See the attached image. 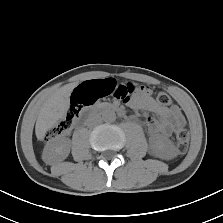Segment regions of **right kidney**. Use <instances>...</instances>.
I'll return each instance as SVG.
<instances>
[{"label":"right kidney","instance_id":"ca27d5eb","mask_svg":"<svg viewBox=\"0 0 223 223\" xmlns=\"http://www.w3.org/2000/svg\"><path fill=\"white\" fill-rule=\"evenodd\" d=\"M70 140L65 137H57L51 140L44 148L42 158L46 163L64 160L70 153Z\"/></svg>","mask_w":223,"mask_h":223}]
</instances>
